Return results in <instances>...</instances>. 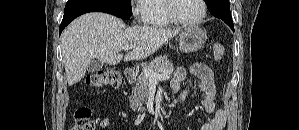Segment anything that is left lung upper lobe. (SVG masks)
<instances>
[{
    "mask_svg": "<svg viewBox=\"0 0 299 130\" xmlns=\"http://www.w3.org/2000/svg\"><path fill=\"white\" fill-rule=\"evenodd\" d=\"M210 12L220 13L223 16L231 15L229 0H205Z\"/></svg>",
    "mask_w": 299,
    "mask_h": 130,
    "instance_id": "left-lung-upper-lobe-1",
    "label": "left lung upper lobe"
}]
</instances>
